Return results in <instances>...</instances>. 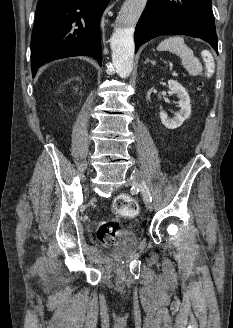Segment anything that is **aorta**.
<instances>
[{"instance_id": "obj_1", "label": "aorta", "mask_w": 233, "mask_h": 328, "mask_svg": "<svg viewBox=\"0 0 233 328\" xmlns=\"http://www.w3.org/2000/svg\"><path fill=\"white\" fill-rule=\"evenodd\" d=\"M146 3L147 0H126L119 12L111 48L113 65L122 78L129 77L133 69V29Z\"/></svg>"}]
</instances>
